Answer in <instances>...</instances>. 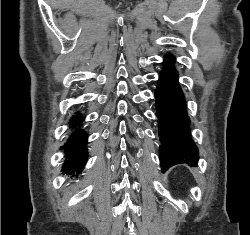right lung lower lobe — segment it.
<instances>
[{"instance_id":"right-lung-lower-lobe-1","label":"right lung lower lobe","mask_w":250,"mask_h":235,"mask_svg":"<svg viewBox=\"0 0 250 235\" xmlns=\"http://www.w3.org/2000/svg\"><path fill=\"white\" fill-rule=\"evenodd\" d=\"M83 117L78 114L72 116L70 122L73 127L80 126ZM87 134L82 129L75 130V133L68 139L64 145L65 153H67L68 160L64 163L63 173L74 174L80 173L83 169L88 153L86 151Z\"/></svg>"}]
</instances>
